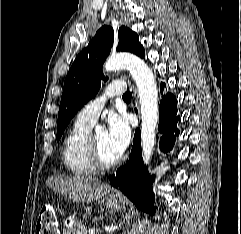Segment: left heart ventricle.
<instances>
[{
    "mask_svg": "<svg viewBox=\"0 0 241 234\" xmlns=\"http://www.w3.org/2000/svg\"><path fill=\"white\" fill-rule=\"evenodd\" d=\"M93 136L99 145L102 157L105 161H114L121 155L110 144L108 134L106 131H99Z\"/></svg>",
    "mask_w": 241,
    "mask_h": 234,
    "instance_id": "b2bd125f",
    "label": "left heart ventricle"
}]
</instances>
